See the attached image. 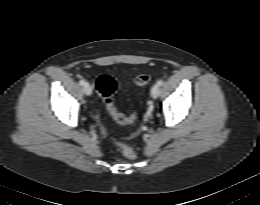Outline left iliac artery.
<instances>
[{"instance_id": "1", "label": "left iliac artery", "mask_w": 260, "mask_h": 205, "mask_svg": "<svg viewBox=\"0 0 260 205\" xmlns=\"http://www.w3.org/2000/svg\"><path fill=\"white\" fill-rule=\"evenodd\" d=\"M157 84L161 86L163 84V80H158Z\"/></svg>"}]
</instances>
